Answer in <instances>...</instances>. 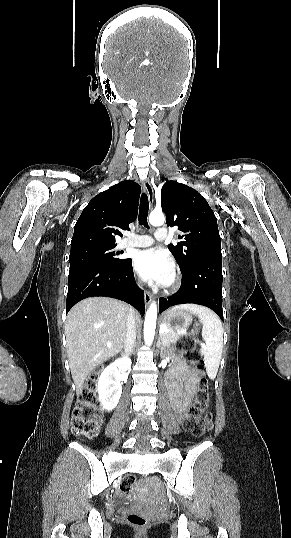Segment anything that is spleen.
I'll return each instance as SVG.
<instances>
[{
  "label": "spleen",
  "instance_id": "1",
  "mask_svg": "<svg viewBox=\"0 0 291 538\" xmlns=\"http://www.w3.org/2000/svg\"><path fill=\"white\" fill-rule=\"evenodd\" d=\"M172 310H186L196 314L202 325V338L205 341L202 347L207 375L215 379L223 348V328L218 316L209 308L196 304H181Z\"/></svg>",
  "mask_w": 291,
  "mask_h": 538
}]
</instances>
